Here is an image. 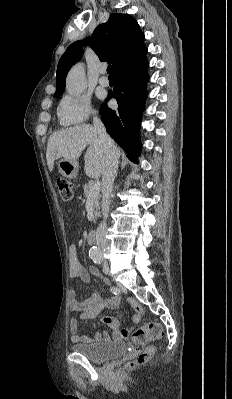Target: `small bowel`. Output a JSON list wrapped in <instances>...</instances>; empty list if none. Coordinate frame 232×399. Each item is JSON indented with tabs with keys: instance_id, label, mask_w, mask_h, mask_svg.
<instances>
[{
	"instance_id": "c3829d8e",
	"label": "small bowel",
	"mask_w": 232,
	"mask_h": 399,
	"mask_svg": "<svg viewBox=\"0 0 232 399\" xmlns=\"http://www.w3.org/2000/svg\"><path fill=\"white\" fill-rule=\"evenodd\" d=\"M80 254L75 246L69 249V276L71 279V286L69 288V313L71 315L69 320V340L75 344H86L88 339L79 333L80 323L83 320L95 318L103 306L116 308L119 302L117 297L111 299H104L98 292H91L83 300H78L77 285L79 282H89L92 276H101V272L97 268H92L90 274L87 273L79 262ZM105 285L109 284L108 278H102ZM129 303L133 306L135 311L134 324L121 326L117 319L113 316L106 317L104 320L113 330L114 337H120L125 333H130L138 325L144 314L143 308L137 303L132 296L128 297ZM94 338L96 341L100 338V333L95 332Z\"/></svg>"
}]
</instances>
